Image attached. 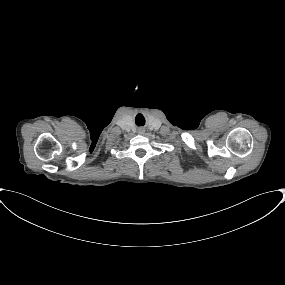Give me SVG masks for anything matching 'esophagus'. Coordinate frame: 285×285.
I'll return each mask as SVG.
<instances>
[{
	"mask_svg": "<svg viewBox=\"0 0 285 285\" xmlns=\"http://www.w3.org/2000/svg\"><path fill=\"white\" fill-rule=\"evenodd\" d=\"M138 133H139V134H143V133H144V129H142V128L139 129Z\"/></svg>",
	"mask_w": 285,
	"mask_h": 285,
	"instance_id": "esophagus-1",
	"label": "esophagus"
}]
</instances>
